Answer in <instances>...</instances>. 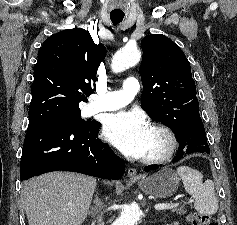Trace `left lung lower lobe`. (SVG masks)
<instances>
[{"label":"left lung lower lobe","mask_w":237,"mask_h":225,"mask_svg":"<svg viewBox=\"0 0 237 225\" xmlns=\"http://www.w3.org/2000/svg\"><path fill=\"white\" fill-rule=\"evenodd\" d=\"M174 133L179 142V148L173 162L179 161L183 155L193 152L210 153L205 129L199 113L192 115L187 123ZM157 168H159L158 165H153L145 167L144 170L148 172Z\"/></svg>","instance_id":"obj_1"}]
</instances>
